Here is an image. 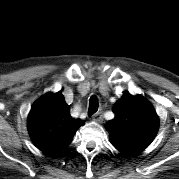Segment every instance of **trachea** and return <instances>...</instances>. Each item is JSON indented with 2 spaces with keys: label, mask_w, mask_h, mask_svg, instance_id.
<instances>
[{
  "label": "trachea",
  "mask_w": 179,
  "mask_h": 179,
  "mask_svg": "<svg viewBox=\"0 0 179 179\" xmlns=\"http://www.w3.org/2000/svg\"><path fill=\"white\" fill-rule=\"evenodd\" d=\"M98 107H99L98 99L95 95H92L89 100L88 115L91 116L95 112H97Z\"/></svg>",
  "instance_id": "1"
}]
</instances>
